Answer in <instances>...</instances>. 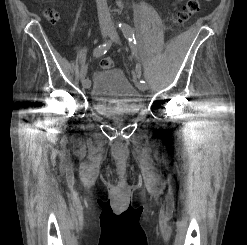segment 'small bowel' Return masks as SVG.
<instances>
[{
	"label": "small bowel",
	"mask_w": 247,
	"mask_h": 245,
	"mask_svg": "<svg viewBox=\"0 0 247 245\" xmlns=\"http://www.w3.org/2000/svg\"><path fill=\"white\" fill-rule=\"evenodd\" d=\"M180 1H182V0H176V4L179 3Z\"/></svg>",
	"instance_id": "obj_1"
}]
</instances>
